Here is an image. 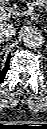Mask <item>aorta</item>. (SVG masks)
Here are the masks:
<instances>
[{"mask_svg": "<svg viewBox=\"0 0 47 129\" xmlns=\"http://www.w3.org/2000/svg\"><path fill=\"white\" fill-rule=\"evenodd\" d=\"M22 41L28 48H39L44 43V37L38 30L29 29L23 33Z\"/></svg>", "mask_w": 47, "mask_h": 129, "instance_id": "762f6f07", "label": "aorta"}]
</instances>
